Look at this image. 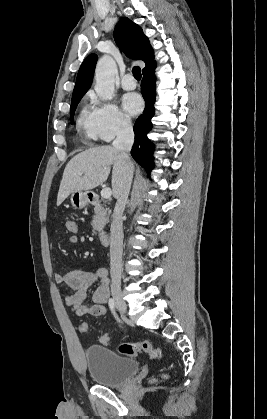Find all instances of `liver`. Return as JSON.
I'll return each mask as SVG.
<instances>
[{"label": "liver", "instance_id": "1", "mask_svg": "<svg viewBox=\"0 0 267 419\" xmlns=\"http://www.w3.org/2000/svg\"><path fill=\"white\" fill-rule=\"evenodd\" d=\"M112 169V192L118 189L125 173V161L110 145L89 148L74 156L66 165L60 183L57 205L75 191H88L105 182Z\"/></svg>", "mask_w": 267, "mask_h": 419}]
</instances>
